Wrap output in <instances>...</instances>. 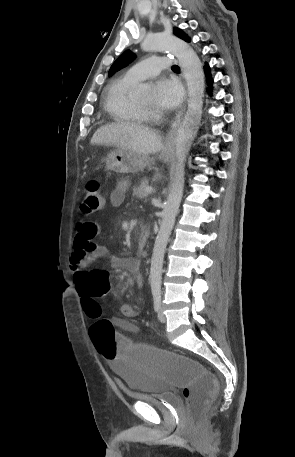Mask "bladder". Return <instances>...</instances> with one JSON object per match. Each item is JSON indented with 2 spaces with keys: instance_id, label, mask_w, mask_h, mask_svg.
<instances>
[{
  "instance_id": "1",
  "label": "bladder",
  "mask_w": 295,
  "mask_h": 457,
  "mask_svg": "<svg viewBox=\"0 0 295 457\" xmlns=\"http://www.w3.org/2000/svg\"><path fill=\"white\" fill-rule=\"evenodd\" d=\"M112 370L133 397L158 407L159 411L181 410L176 394L167 388L166 378H160L159 374H141L138 366H120L119 362L113 363Z\"/></svg>"
}]
</instances>
